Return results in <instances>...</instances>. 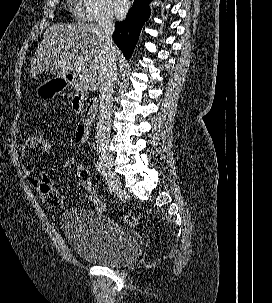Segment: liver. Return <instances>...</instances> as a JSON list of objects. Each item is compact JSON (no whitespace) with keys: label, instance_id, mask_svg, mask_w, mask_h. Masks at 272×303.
Returning <instances> with one entry per match:
<instances>
[{"label":"liver","instance_id":"1","mask_svg":"<svg viewBox=\"0 0 272 303\" xmlns=\"http://www.w3.org/2000/svg\"><path fill=\"white\" fill-rule=\"evenodd\" d=\"M103 38L96 24H54L49 27L31 61L30 75H38L49 69L57 70L56 78L66 79L75 71L87 75L88 87L94 91L98 84L103 60ZM115 58L121 57L115 47Z\"/></svg>","mask_w":272,"mask_h":303}]
</instances>
